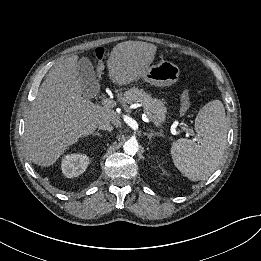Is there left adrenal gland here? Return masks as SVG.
I'll return each instance as SVG.
<instances>
[{
    "instance_id": "left-adrenal-gland-1",
    "label": "left adrenal gland",
    "mask_w": 261,
    "mask_h": 261,
    "mask_svg": "<svg viewBox=\"0 0 261 261\" xmlns=\"http://www.w3.org/2000/svg\"><path fill=\"white\" fill-rule=\"evenodd\" d=\"M144 135H146L149 138L150 141L152 140V138L154 136H161L160 133H157V132H154V131L146 132V133H144Z\"/></svg>"
}]
</instances>
